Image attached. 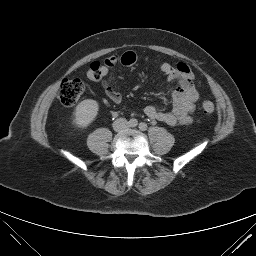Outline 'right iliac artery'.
I'll return each instance as SVG.
<instances>
[{
    "mask_svg": "<svg viewBox=\"0 0 256 256\" xmlns=\"http://www.w3.org/2000/svg\"><path fill=\"white\" fill-rule=\"evenodd\" d=\"M138 125V121L136 119H130L129 126L136 127Z\"/></svg>",
    "mask_w": 256,
    "mask_h": 256,
    "instance_id": "obj_1",
    "label": "right iliac artery"
}]
</instances>
